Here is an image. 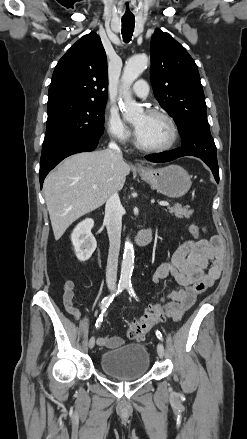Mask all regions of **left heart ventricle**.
I'll return each mask as SVG.
<instances>
[{"instance_id":"b2bd125f","label":"left heart ventricle","mask_w":247,"mask_h":439,"mask_svg":"<svg viewBox=\"0 0 247 439\" xmlns=\"http://www.w3.org/2000/svg\"><path fill=\"white\" fill-rule=\"evenodd\" d=\"M139 141L151 147L162 146L170 139V127L165 119L159 116H148L145 113L134 121Z\"/></svg>"}]
</instances>
